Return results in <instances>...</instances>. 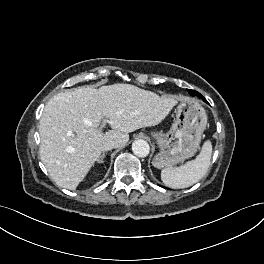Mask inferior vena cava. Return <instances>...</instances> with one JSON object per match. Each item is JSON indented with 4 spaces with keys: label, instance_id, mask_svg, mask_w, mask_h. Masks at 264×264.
<instances>
[{
    "label": "inferior vena cava",
    "instance_id": "obj_1",
    "mask_svg": "<svg viewBox=\"0 0 264 264\" xmlns=\"http://www.w3.org/2000/svg\"><path fill=\"white\" fill-rule=\"evenodd\" d=\"M117 142L114 140H107L105 141L102 145H101V150L102 151H108L111 150L113 148H117Z\"/></svg>",
    "mask_w": 264,
    "mask_h": 264
}]
</instances>
